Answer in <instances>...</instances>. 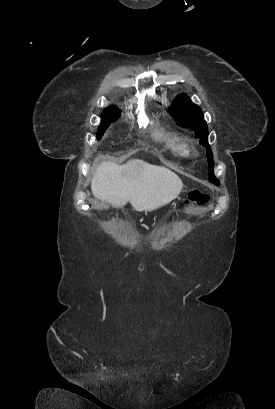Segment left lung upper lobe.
<instances>
[{"mask_svg": "<svg viewBox=\"0 0 275 409\" xmlns=\"http://www.w3.org/2000/svg\"><path fill=\"white\" fill-rule=\"evenodd\" d=\"M168 111L178 125L191 128L201 138L200 144L207 150L209 181L219 185V181L213 173V154L207 141V124L200 107L192 103L189 97H186V94H181L174 99Z\"/></svg>", "mask_w": 275, "mask_h": 409, "instance_id": "5c2ea615", "label": "left lung upper lobe"}]
</instances>
